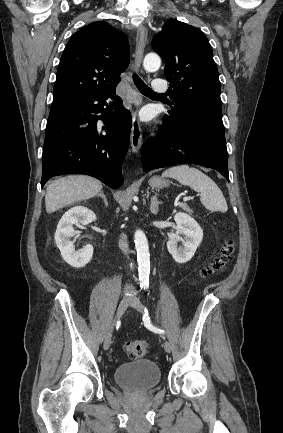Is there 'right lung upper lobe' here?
Returning a JSON list of instances; mask_svg holds the SVG:
<instances>
[{
  "instance_id": "right-lung-upper-lobe-1",
  "label": "right lung upper lobe",
  "mask_w": 283,
  "mask_h": 433,
  "mask_svg": "<svg viewBox=\"0 0 283 433\" xmlns=\"http://www.w3.org/2000/svg\"><path fill=\"white\" fill-rule=\"evenodd\" d=\"M127 36L105 21L77 31L62 54L51 107L76 103L116 88L129 64Z\"/></svg>"
}]
</instances>
